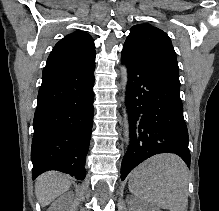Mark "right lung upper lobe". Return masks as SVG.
I'll use <instances>...</instances> for the list:
<instances>
[{
    "label": "right lung upper lobe",
    "instance_id": "cb5924a9",
    "mask_svg": "<svg viewBox=\"0 0 219 211\" xmlns=\"http://www.w3.org/2000/svg\"><path fill=\"white\" fill-rule=\"evenodd\" d=\"M95 60V46L85 32H74L60 40L51 51L46 65L82 64Z\"/></svg>",
    "mask_w": 219,
    "mask_h": 211
}]
</instances>
